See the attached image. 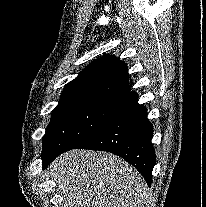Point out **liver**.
Returning a JSON list of instances; mask_svg holds the SVG:
<instances>
[{"label":"liver","mask_w":206,"mask_h":207,"mask_svg":"<svg viewBox=\"0 0 206 207\" xmlns=\"http://www.w3.org/2000/svg\"><path fill=\"white\" fill-rule=\"evenodd\" d=\"M62 207H142L147 184L139 172L107 152L70 150L50 164Z\"/></svg>","instance_id":"liver-1"}]
</instances>
